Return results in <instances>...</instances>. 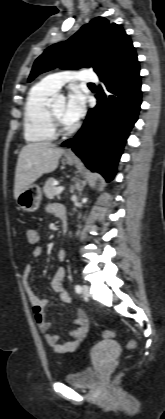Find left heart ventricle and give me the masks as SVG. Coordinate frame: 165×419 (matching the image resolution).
<instances>
[{"label":"left heart ventricle","instance_id":"1","mask_svg":"<svg viewBox=\"0 0 165 419\" xmlns=\"http://www.w3.org/2000/svg\"><path fill=\"white\" fill-rule=\"evenodd\" d=\"M54 112L56 115L65 123H68L64 118V111H65V103L61 102L58 104H55L53 107Z\"/></svg>","mask_w":165,"mask_h":419}]
</instances>
